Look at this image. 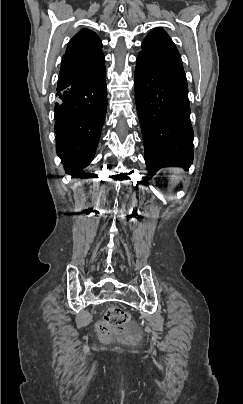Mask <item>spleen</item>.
Segmentation results:
<instances>
[{"mask_svg": "<svg viewBox=\"0 0 243 404\" xmlns=\"http://www.w3.org/2000/svg\"><path fill=\"white\" fill-rule=\"evenodd\" d=\"M176 174H179V172H181V170H175Z\"/></svg>", "mask_w": 243, "mask_h": 404, "instance_id": "1", "label": "spleen"}]
</instances>
